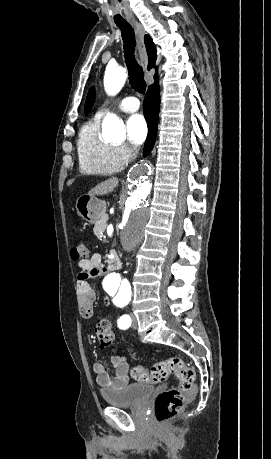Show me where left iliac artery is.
<instances>
[{
    "label": "left iliac artery",
    "instance_id": "left-iliac-artery-1",
    "mask_svg": "<svg viewBox=\"0 0 271 459\" xmlns=\"http://www.w3.org/2000/svg\"><path fill=\"white\" fill-rule=\"evenodd\" d=\"M125 305H126V303L120 304V306H125ZM131 322H132V320H131L129 315H123V316L120 317V319H118V327L120 329L125 330V329L130 327Z\"/></svg>",
    "mask_w": 271,
    "mask_h": 459
}]
</instances>
